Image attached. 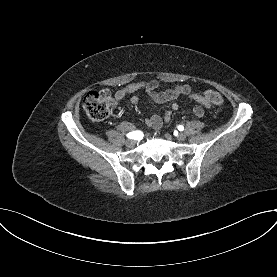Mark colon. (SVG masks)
<instances>
[{
	"label": "colon",
	"instance_id": "5ec220e1",
	"mask_svg": "<svg viewBox=\"0 0 277 277\" xmlns=\"http://www.w3.org/2000/svg\"><path fill=\"white\" fill-rule=\"evenodd\" d=\"M205 96L213 104L221 105L223 103L222 96L215 91L208 90L205 92ZM114 105V99L108 90L90 91L83 101L87 116L94 122L105 120L110 115Z\"/></svg>",
	"mask_w": 277,
	"mask_h": 277
}]
</instances>
